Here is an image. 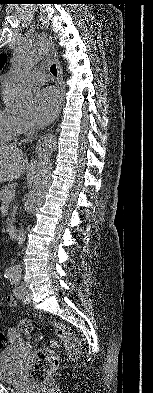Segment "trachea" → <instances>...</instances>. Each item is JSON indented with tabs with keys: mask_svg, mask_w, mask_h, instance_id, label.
<instances>
[{
	"mask_svg": "<svg viewBox=\"0 0 153 393\" xmlns=\"http://www.w3.org/2000/svg\"><path fill=\"white\" fill-rule=\"evenodd\" d=\"M50 72H51L53 75H57V67H56L55 64H53V65L50 67Z\"/></svg>",
	"mask_w": 153,
	"mask_h": 393,
	"instance_id": "1",
	"label": "trachea"
}]
</instances>
